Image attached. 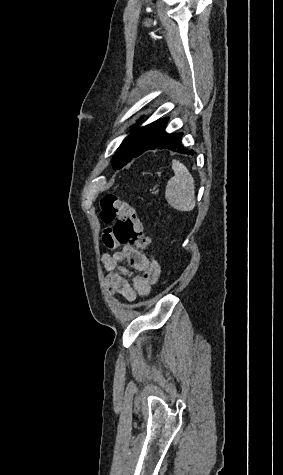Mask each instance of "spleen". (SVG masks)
<instances>
[{
	"instance_id": "obj_1",
	"label": "spleen",
	"mask_w": 283,
	"mask_h": 475,
	"mask_svg": "<svg viewBox=\"0 0 283 475\" xmlns=\"http://www.w3.org/2000/svg\"><path fill=\"white\" fill-rule=\"evenodd\" d=\"M172 170L174 176L167 182L165 198L175 210L191 212L196 204L194 178L186 166L177 160H173Z\"/></svg>"
}]
</instances>
